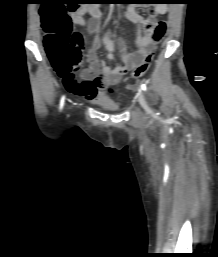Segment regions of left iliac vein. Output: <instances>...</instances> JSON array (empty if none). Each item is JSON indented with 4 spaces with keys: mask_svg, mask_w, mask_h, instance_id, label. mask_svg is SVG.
Returning a JSON list of instances; mask_svg holds the SVG:
<instances>
[{
    "mask_svg": "<svg viewBox=\"0 0 218 257\" xmlns=\"http://www.w3.org/2000/svg\"><path fill=\"white\" fill-rule=\"evenodd\" d=\"M137 98H138V100H139L140 105L143 107V109H144L147 113H151V109H150V107H149L148 104H147V101H146V99H145V95H144V93H143L142 90H139V91L137 92Z\"/></svg>",
    "mask_w": 218,
    "mask_h": 257,
    "instance_id": "obj_1",
    "label": "left iliac vein"
}]
</instances>
